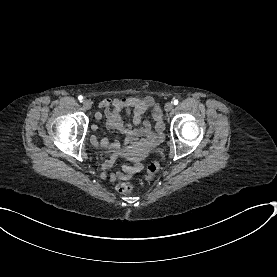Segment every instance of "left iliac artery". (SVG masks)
Masks as SVG:
<instances>
[{
	"label": "left iliac artery",
	"mask_w": 277,
	"mask_h": 277,
	"mask_svg": "<svg viewBox=\"0 0 277 277\" xmlns=\"http://www.w3.org/2000/svg\"><path fill=\"white\" fill-rule=\"evenodd\" d=\"M173 103H174V105H177L178 104V100L175 99Z\"/></svg>",
	"instance_id": "left-iliac-artery-1"
}]
</instances>
